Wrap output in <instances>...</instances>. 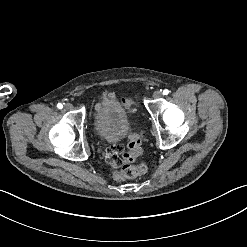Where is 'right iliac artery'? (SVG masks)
<instances>
[{
	"mask_svg": "<svg viewBox=\"0 0 247 247\" xmlns=\"http://www.w3.org/2000/svg\"><path fill=\"white\" fill-rule=\"evenodd\" d=\"M57 107H58L59 109H62V108H63V105H62L61 103H58V104H57Z\"/></svg>",
	"mask_w": 247,
	"mask_h": 247,
	"instance_id": "obj_1",
	"label": "right iliac artery"
}]
</instances>
